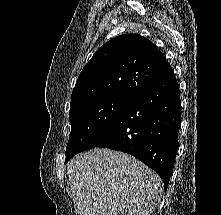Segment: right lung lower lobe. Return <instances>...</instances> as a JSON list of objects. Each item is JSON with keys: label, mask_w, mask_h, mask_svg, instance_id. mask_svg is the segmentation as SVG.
I'll return each instance as SVG.
<instances>
[{"label": "right lung lower lobe", "mask_w": 221, "mask_h": 215, "mask_svg": "<svg viewBox=\"0 0 221 215\" xmlns=\"http://www.w3.org/2000/svg\"><path fill=\"white\" fill-rule=\"evenodd\" d=\"M179 85L171 69L133 95L111 126L88 148L129 153L155 170L166 187L177 151Z\"/></svg>", "instance_id": "right-lung-lower-lobe-1"}]
</instances>
